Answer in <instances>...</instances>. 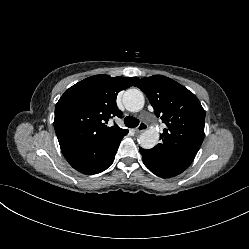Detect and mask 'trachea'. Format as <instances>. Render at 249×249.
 Segmentation results:
<instances>
[{
    "label": "trachea",
    "mask_w": 249,
    "mask_h": 249,
    "mask_svg": "<svg viewBox=\"0 0 249 249\" xmlns=\"http://www.w3.org/2000/svg\"><path fill=\"white\" fill-rule=\"evenodd\" d=\"M124 123L129 128H135L139 125V120L133 116H127L124 119Z\"/></svg>",
    "instance_id": "1"
}]
</instances>
